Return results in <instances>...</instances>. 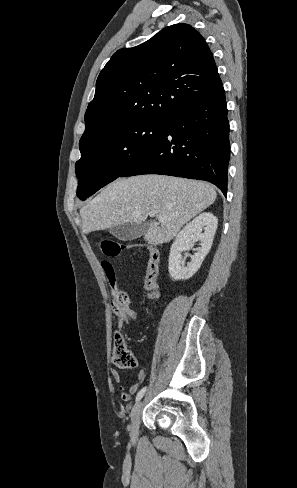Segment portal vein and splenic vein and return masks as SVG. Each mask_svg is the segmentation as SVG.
Instances as JSON below:
<instances>
[{"instance_id":"portal-vein-and-splenic-vein-1","label":"portal vein and splenic vein","mask_w":297,"mask_h":488,"mask_svg":"<svg viewBox=\"0 0 297 488\" xmlns=\"http://www.w3.org/2000/svg\"><path fill=\"white\" fill-rule=\"evenodd\" d=\"M148 215H149V216H151V217H154V216H156V212H154V211H150V212L148 213ZM164 219H165V217H164V216H161V215H159V216H158V220H159V221H163Z\"/></svg>"}]
</instances>
